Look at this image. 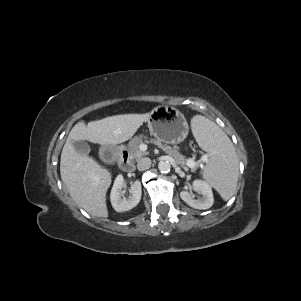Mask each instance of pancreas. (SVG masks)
<instances>
[{
  "label": "pancreas",
  "instance_id": "cf45deb5",
  "mask_svg": "<svg viewBox=\"0 0 301 301\" xmlns=\"http://www.w3.org/2000/svg\"><path fill=\"white\" fill-rule=\"evenodd\" d=\"M151 142L155 145H157L159 148H161L165 153L172 156L177 164L181 165L182 167H185L187 165L188 159L185 158L182 154L179 152V147L177 146H169L166 144H162L160 141L156 139H148V137L140 135L138 137H134L132 140H130L128 145V151L130 155L133 158L140 159L141 156L147 155V152L140 151L139 147L143 143ZM194 168V167H193Z\"/></svg>",
  "mask_w": 301,
  "mask_h": 301
}]
</instances>
